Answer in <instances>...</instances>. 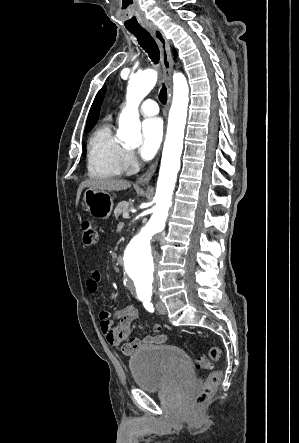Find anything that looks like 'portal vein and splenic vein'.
Masks as SVG:
<instances>
[{
  "instance_id": "portal-vein-and-splenic-vein-1",
  "label": "portal vein and splenic vein",
  "mask_w": 299,
  "mask_h": 443,
  "mask_svg": "<svg viewBox=\"0 0 299 443\" xmlns=\"http://www.w3.org/2000/svg\"><path fill=\"white\" fill-rule=\"evenodd\" d=\"M128 217H129V213L128 212L123 213V218L124 219H127Z\"/></svg>"
}]
</instances>
